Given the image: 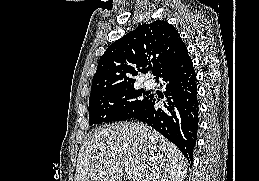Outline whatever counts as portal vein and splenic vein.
<instances>
[{
    "label": "portal vein and splenic vein",
    "mask_w": 259,
    "mask_h": 181,
    "mask_svg": "<svg viewBox=\"0 0 259 181\" xmlns=\"http://www.w3.org/2000/svg\"><path fill=\"white\" fill-rule=\"evenodd\" d=\"M125 172H126L129 176H131L133 170L130 169V168H125Z\"/></svg>",
    "instance_id": "1"
}]
</instances>
